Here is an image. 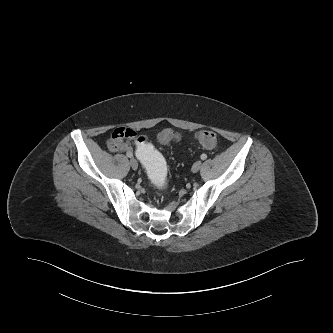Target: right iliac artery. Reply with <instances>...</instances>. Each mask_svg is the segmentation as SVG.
I'll use <instances>...</instances> for the list:
<instances>
[{
  "label": "right iliac artery",
  "mask_w": 333,
  "mask_h": 333,
  "mask_svg": "<svg viewBox=\"0 0 333 333\" xmlns=\"http://www.w3.org/2000/svg\"><path fill=\"white\" fill-rule=\"evenodd\" d=\"M126 155H127V157H129V158L133 157V153H132V152H127Z\"/></svg>",
  "instance_id": "82829eb1"
}]
</instances>
